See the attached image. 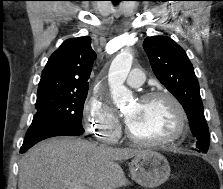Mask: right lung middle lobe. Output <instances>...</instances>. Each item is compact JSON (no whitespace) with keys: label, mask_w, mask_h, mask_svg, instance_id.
Returning <instances> with one entry per match:
<instances>
[{"label":"right lung middle lobe","mask_w":223,"mask_h":189,"mask_svg":"<svg viewBox=\"0 0 223 189\" xmlns=\"http://www.w3.org/2000/svg\"><path fill=\"white\" fill-rule=\"evenodd\" d=\"M88 89L37 93L33 120L59 122L84 132L82 112Z\"/></svg>","instance_id":"obj_1"}]
</instances>
